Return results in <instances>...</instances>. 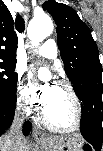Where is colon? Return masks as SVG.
<instances>
[{
  "instance_id": "colon-1",
  "label": "colon",
  "mask_w": 103,
  "mask_h": 151,
  "mask_svg": "<svg viewBox=\"0 0 103 151\" xmlns=\"http://www.w3.org/2000/svg\"><path fill=\"white\" fill-rule=\"evenodd\" d=\"M84 151H92V149L89 148V147H85V148H84Z\"/></svg>"
}]
</instances>
